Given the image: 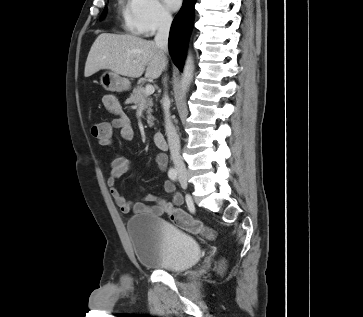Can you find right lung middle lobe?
<instances>
[{
    "label": "right lung middle lobe",
    "mask_w": 363,
    "mask_h": 317,
    "mask_svg": "<svg viewBox=\"0 0 363 317\" xmlns=\"http://www.w3.org/2000/svg\"><path fill=\"white\" fill-rule=\"evenodd\" d=\"M106 14V10H104L103 14H102V18L105 16Z\"/></svg>",
    "instance_id": "dd1d6c3e"
}]
</instances>
